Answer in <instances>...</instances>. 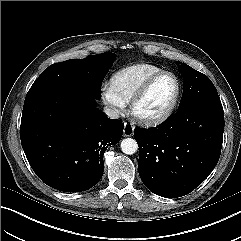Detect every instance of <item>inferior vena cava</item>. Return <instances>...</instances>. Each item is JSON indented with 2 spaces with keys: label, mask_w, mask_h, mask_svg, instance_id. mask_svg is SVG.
Instances as JSON below:
<instances>
[{
  "label": "inferior vena cava",
  "mask_w": 241,
  "mask_h": 241,
  "mask_svg": "<svg viewBox=\"0 0 241 241\" xmlns=\"http://www.w3.org/2000/svg\"><path fill=\"white\" fill-rule=\"evenodd\" d=\"M104 113L111 119H118L119 118V111L115 107L106 106L104 107Z\"/></svg>",
  "instance_id": "inferior-vena-cava-1"
}]
</instances>
